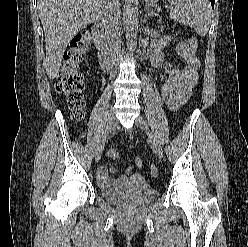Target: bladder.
<instances>
[{
	"label": "bladder",
	"mask_w": 248,
	"mask_h": 247,
	"mask_svg": "<svg viewBox=\"0 0 248 247\" xmlns=\"http://www.w3.org/2000/svg\"><path fill=\"white\" fill-rule=\"evenodd\" d=\"M135 177L125 190L101 189V196L107 201L121 206H139L148 203L156 190L141 174H136Z\"/></svg>",
	"instance_id": "bladder-1"
}]
</instances>
